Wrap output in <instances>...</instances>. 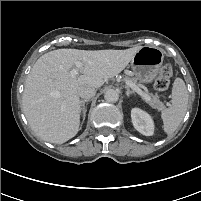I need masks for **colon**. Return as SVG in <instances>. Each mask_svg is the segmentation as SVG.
Returning <instances> with one entry per match:
<instances>
[{
    "mask_svg": "<svg viewBox=\"0 0 201 201\" xmlns=\"http://www.w3.org/2000/svg\"><path fill=\"white\" fill-rule=\"evenodd\" d=\"M172 76V67L169 64L164 65L158 74L155 81V89L159 92H165L170 85V79Z\"/></svg>",
    "mask_w": 201,
    "mask_h": 201,
    "instance_id": "obj_1",
    "label": "colon"
}]
</instances>
